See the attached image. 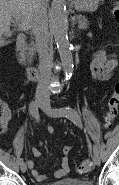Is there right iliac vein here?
I'll use <instances>...</instances> for the list:
<instances>
[{"label":"right iliac vein","mask_w":119,"mask_h":185,"mask_svg":"<svg viewBox=\"0 0 119 185\" xmlns=\"http://www.w3.org/2000/svg\"><path fill=\"white\" fill-rule=\"evenodd\" d=\"M37 107H40V108H42L44 105H45V101L42 99V98H38L37 99ZM38 118V117H37ZM20 169H21V171L24 173V172H26V170H27V164L25 163V162H22L21 164H20Z\"/></svg>","instance_id":"right-iliac-vein-1"}]
</instances>
